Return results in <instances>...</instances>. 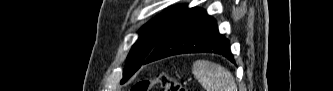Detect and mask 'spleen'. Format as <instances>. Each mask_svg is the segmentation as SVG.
Segmentation results:
<instances>
[{
  "mask_svg": "<svg viewBox=\"0 0 333 91\" xmlns=\"http://www.w3.org/2000/svg\"><path fill=\"white\" fill-rule=\"evenodd\" d=\"M192 72L206 91H237L230 71L217 63L197 60L193 64Z\"/></svg>",
  "mask_w": 333,
  "mask_h": 91,
  "instance_id": "3e777b00",
  "label": "spleen"
}]
</instances>
